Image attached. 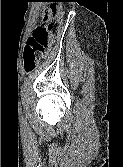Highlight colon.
<instances>
[{
	"label": "colon",
	"instance_id": "colon-1",
	"mask_svg": "<svg viewBox=\"0 0 123 167\" xmlns=\"http://www.w3.org/2000/svg\"><path fill=\"white\" fill-rule=\"evenodd\" d=\"M62 24L61 7L53 6L45 10L41 25L37 26L27 40L24 52V70L34 71L39 59L49 48L52 37L59 32Z\"/></svg>",
	"mask_w": 123,
	"mask_h": 167
}]
</instances>
